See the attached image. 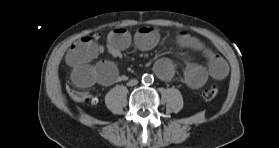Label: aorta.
I'll list each match as a JSON object with an SVG mask.
<instances>
[{"label":"aorta","mask_w":279,"mask_h":148,"mask_svg":"<svg viewBox=\"0 0 279 148\" xmlns=\"http://www.w3.org/2000/svg\"><path fill=\"white\" fill-rule=\"evenodd\" d=\"M154 81V78L150 74H144L142 77L143 84H151Z\"/></svg>","instance_id":"aorta-1"}]
</instances>
